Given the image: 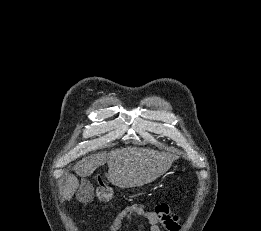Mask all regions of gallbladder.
Segmentation results:
<instances>
[{
    "label": "gallbladder",
    "instance_id": "gallbladder-1",
    "mask_svg": "<svg viewBox=\"0 0 261 231\" xmlns=\"http://www.w3.org/2000/svg\"><path fill=\"white\" fill-rule=\"evenodd\" d=\"M93 194V186L92 184L85 178H82L80 189L76 195L77 199L80 201H84L91 197Z\"/></svg>",
    "mask_w": 261,
    "mask_h": 231
}]
</instances>
